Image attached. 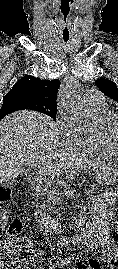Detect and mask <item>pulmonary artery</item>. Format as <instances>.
<instances>
[{
    "mask_svg": "<svg viewBox=\"0 0 118 269\" xmlns=\"http://www.w3.org/2000/svg\"><path fill=\"white\" fill-rule=\"evenodd\" d=\"M84 103L90 111L99 110L107 106L104 95L96 90L89 89L84 95Z\"/></svg>",
    "mask_w": 118,
    "mask_h": 269,
    "instance_id": "obj_1",
    "label": "pulmonary artery"
}]
</instances>
